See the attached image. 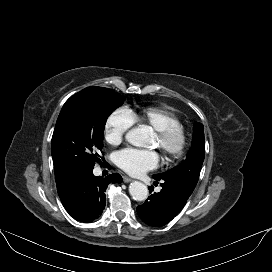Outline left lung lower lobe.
Wrapping results in <instances>:
<instances>
[{"mask_svg":"<svg viewBox=\"0 0 272 272\" xmlns=\"http://www.w3.org/2000/svg\"><path fill=\"white\" fill-rule=\"evenodd\" d=\"M153 178L156 182L161 180L162 190L151 194L137 207V213L150 226H164L182 210L194 189L178 181Z\"/></svg>","mask_w":272,"mask_h":272,"instance_id":"1","label":"left lung lower lobe"}]
</instances>
